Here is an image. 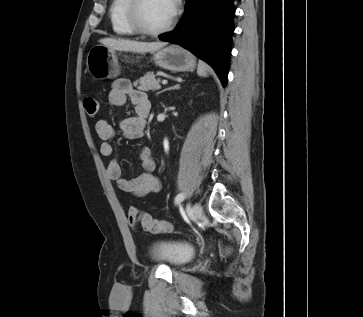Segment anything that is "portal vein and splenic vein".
<instances>
[{"mask_svg": "<svg viewBox=\"0 0 363 317\" xmlns=\"http://www.w3.org/2000/svg\"><path fill=\"white\" fill-rule=\"evenodd\" d=\"M162 84H163V85H166V84H167V80H163V81H162Z\"/></svg>", "mask_w": 363, "mask_h": 317, "instance_id": "obj_1", "label": "portal vein and splenic vein"}]
</instances>
